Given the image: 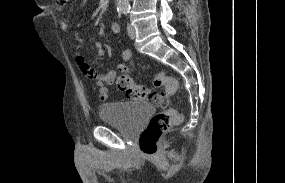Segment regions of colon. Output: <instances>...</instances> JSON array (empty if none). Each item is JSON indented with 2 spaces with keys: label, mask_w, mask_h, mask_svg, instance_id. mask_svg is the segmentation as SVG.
I'll return each instance as SVG.
<instances>
[{
  "label": "colon",
  "mask_w": 285,
  "mask_h": 183,
  "mask_svg": "<svg viewBox=\"0 0 285 183\" xmlns=\"http://www.w3.org/2000/svg\"><path fill=\"white\" fill-rule=\"evenodd\" d=\"M64 2L65 0H60ZM82 72L90 79L94 78L91 69L79 64ZM134 68V64H121L118 69L121 75L116 80L118 89L123 92L127 98L132 100L148 99L150 102L161 107L167 105L168 99L177 90V82L175 79L167 76L164 72H157L154 75V86L164 87L163 93L150 94L149 90L142 85L136 84L129 75V71ZM183 120V115L175 109H166L155 114L150 120L147 127L142 132L139 139L140 150L147 155H153L157 151V146L161 136L171 127L180 124Z\"/></svg>",
  "instance_id": "obj_1"
}]
</instances>
